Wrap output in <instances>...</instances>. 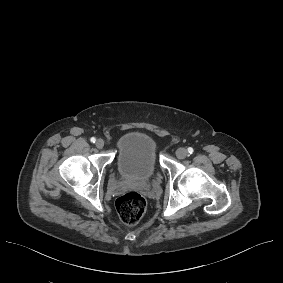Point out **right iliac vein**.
<instances>
[{"instance_id": "right-iliac-vein-1", "label": "right iliac vein", "mask_w": 283, "mask_h": 283, "mask_svg": "<svg viewBox=\"0 0 283 283\" xmlns=\"http://www.w3.org/2000/svg\"><path fill=\"white\" fill-rule=\"evenodd\" d=\"M104 144L105 143L102 139H98L95 143L96 147L99 148V149L103 148Z\"/></svg>"}]
</instances>
